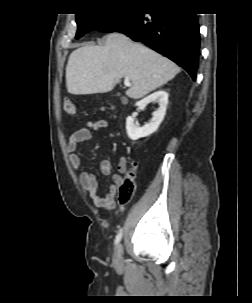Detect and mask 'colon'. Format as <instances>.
I'll return each mask as SVG.
<instances>
[{"mask_svg":"<svg viewBox=\"0 0 252 303\" xmlns=\"http://www.w3.org/2000/svg\"><path fill=\"white\" fill-rule=\"evenodd\" d=\"M63 109L67 114L75 113V102L71 98H64ZM136 190V174L134 171L129 172L121 182L119 190L120 203L129 202Z\"/></svg>","mask_w":252,"mask_h":303,"instance_id":"1","label":"colon"}]
</instances>
